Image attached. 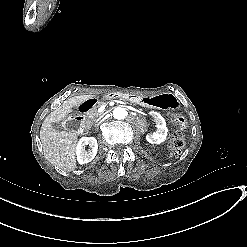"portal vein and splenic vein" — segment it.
<instances>
[{
    "label": "portal vein and splenic vein",
    "instance_id": "portal-vein-and-splenic-vein-1",
    "mask_svg": "<svg viewBox=\"0 0 247 247\" xmlns=\"http://www.w3.org/2000/svg\"><path fill=\"white\" fill-rule=\"evenodd\" d=\"M113 101V98H109L106 100V104H103L102 106H100V108H98V113H101V111L105 110L106 105H109V103ZM114 102H117V104H121V105H125V102H121L118 99H114Z\"/></svg>",
    "mask_w": 247,
    "mask_h": 247
}]
</instances>
